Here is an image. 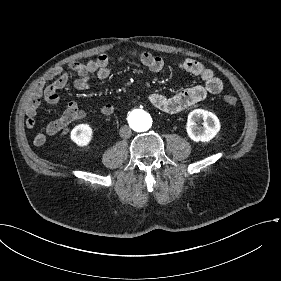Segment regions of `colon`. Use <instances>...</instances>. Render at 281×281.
I'll list each match as a JSON object with an SVG mask.
<instances>
[{
	"label": "colon",
	"instance_id": "colon-1",
	"mask_svg": "<svg viewBox=\"0 0 281 281\" xmlns=\"http://www.w3.org/2000/svg\"><path fill=\"white\" fill-rule=\"evenodd\" d=\"M223 100H224V103L228 106H233L237 103V98L232 95L224 96Z\"/></svg>",
	"mask_w": 281,
	"mask_h": 281
}]
</instances>
